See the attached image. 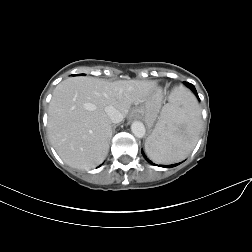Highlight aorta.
<instances>
[{
    "instance_id": "762f6f07",
    "label": "aorta",
    "mask_w": 252,
    "mask_h": 252,
    "mask_svg": "<svg viewBox=\"0 0 252 252\" xmlns=\"http://www.w3.org/2000/svg\"><path fill=\"white\" fill-rule=\"evenodd\" d=\"M131 131L135 137L142 138L145 135V127L142 122L134 121L131 125Z\"/></svg>"
}]
</instances>
